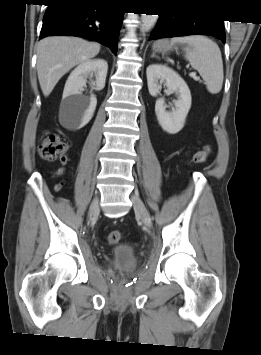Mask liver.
Here are the masks:
<instances>
[{
	"label": "liver",
	"instance_id": "1",
	"mask_svg": "<svg viewBox=\"0 0 261 355\" xmlns=\"http://www.w3.org/2000/svg\"><path fill=\"white\" fill-rule=\"evenodd\" d=\"M100 44L77 37H47L37 48V73L41 90L49 96L58 81L70 69L95 57Z\"/></svg>",
	"mask_w": 261,
	"mask_h": 355
}]
</instances>
